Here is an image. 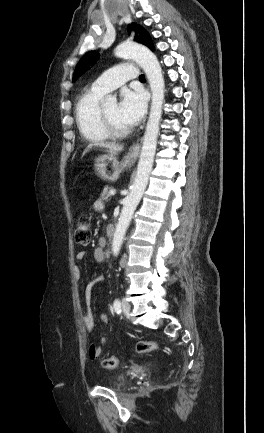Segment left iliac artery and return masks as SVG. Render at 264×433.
Listing matches in <instances>:
<instances>
[{
    "label": "left iliac artery",
    "instance_id": "44dca946",
    "mask_svg": "<svg viewBox=\"0 0 264 433\" xmlns=\"http://www.w3.org/2000/svg\"><path fill=\"white\" fill-rule=\"evenodd\" d=\"M113 307H114V310H115L116 313H118V314L121 313V302H120L119 299H116L114 301Z\"/></svg>",
    "mask_w": 264,
    "mask_h": 433
}]
</instances>
